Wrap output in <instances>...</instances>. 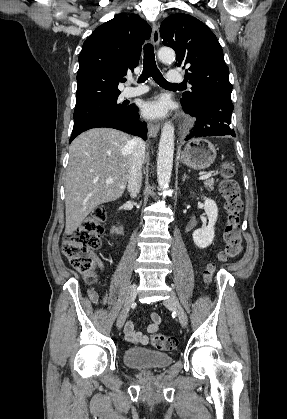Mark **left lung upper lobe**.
Listing matches in <instances>:
<instances>
[{
    "label": "left lung upper lobe",
    "mask_w": 287,
    "mask_h": 419,
    "mask_svg": "<svg viewBox=\"0 0 287 419\" xmlns=\"http://www.w3.org/2000/svg\"><path fill=\"white\" fill-rule=\"evenodd\" d=\"M163 44L176 52L175 66L187 68L185 78L192 85L180 99L182 106L194 107L210 96L231 99L232 85L223 50L213 32L195 17L177 13L160 26Z\"/></svg>",
    "instance_id": "1"
}]
</instances>
